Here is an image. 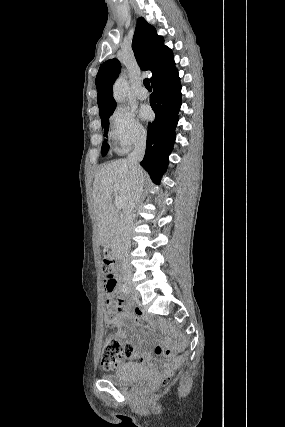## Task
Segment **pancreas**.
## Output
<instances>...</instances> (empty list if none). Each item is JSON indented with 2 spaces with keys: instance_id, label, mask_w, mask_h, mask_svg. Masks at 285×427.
Masks as SVG:
<instances>
[{
  "instance_id": "1",
  "label": "pancreas",
  "mask_w": 285,
  "mask_h": 427,
  "mask_svg": "<svg viewBox=\"0 0 285 427\" xmlns=\"http://www.w3.org/2000/svg\"><path fill=\"white\" fill-rule=\"evenodd\" d=\"M120 226L119 224H112L107 233L106 243L108 246H114L119 240Z\"/></svg>"
}]
</instances>
